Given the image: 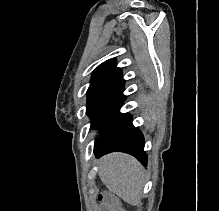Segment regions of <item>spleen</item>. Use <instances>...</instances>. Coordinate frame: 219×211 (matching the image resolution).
<instances>
[{
    "label": "spleen",
    "mask_w": 219,
    "mask_h": 211,
    "mask_svg": "<svg viewBox=\"0 0 219 211\" xmlns=\"http://www.w3.org/2000/svg\"><path fill=\"white\" fill-rule=\"evenodd\" d=\"M98 175L106 187L131 205H141L144 169L132 155L110 153L99 159Z\"/></svg>",
    "instance_id": "1"
}]
</instances>
